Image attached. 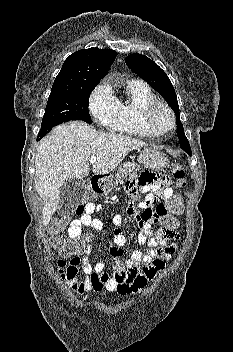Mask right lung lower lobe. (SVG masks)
Here are the masks:
<instances>
[{
  "label": "right lung lower lobe",
  "instance_id": "98d812e1",
  "mask_svg": "<svg viewBox=\"0 0 233 352\" xmlns=\"http://www.w3.org/2000/svg\"><path fill=\"white\" fill-rule=\"evenodd\" d=\"M50 130H51V129H50ZM50 130L45 131V132H42V133H39V134H38V140H40L41 138H43Z\"/></svg>",
  "mask_w": 233,
  "mask_h": 352
}]
</instances>
